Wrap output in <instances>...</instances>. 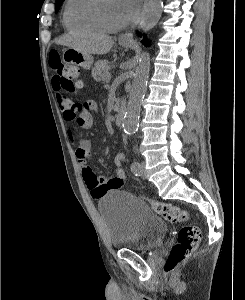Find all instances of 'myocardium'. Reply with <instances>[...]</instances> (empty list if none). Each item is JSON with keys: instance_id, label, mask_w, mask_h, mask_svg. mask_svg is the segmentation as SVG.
Masks as SVG:
<instances>
[{"instance_id": "obj_1", "label": "myocardium", "mask_w": 245, "mask_h": 300, "mask_svg": "<svg viewBox=\"0 0 245 300\" xmlns=\"http://www.w3.org/2000/svg\"><path fill=\"white\" fill-rule=\"evenodd\" d=\"M102 1L103 0H95L94 5H93V18L97 26L101 29L103 32H117L125 28L133 19V17L127 19L125 22L116 25V26H110L108 25L102 15Z\"/></svg>"}]
</instances>
